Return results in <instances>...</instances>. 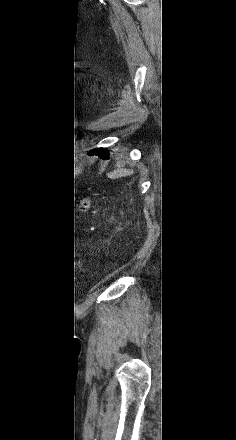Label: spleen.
Instances as JSON below:
<instances>
[{
    "label": "spleen",
    "instance_id": "3e777b00",
    "mask_svg": "<svg viewBox=\"0 0 236 440\" xmlns=\"http://www.w3.org/2000/svg\"><path fill=\"white\" fill-rule=\"evenodd\" d=\"M131 174H133V171L128 170V169H122V170H118V171H114L112 173H109L108 177L111 178V179H115V178H118V177L128 176V175H131Z\"/></svg>",
    "mask_w": 236,
    "mask_h": 440
}]
</instances>
